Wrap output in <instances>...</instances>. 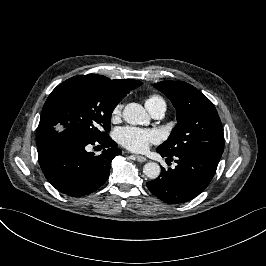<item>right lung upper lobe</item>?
Wrapping results in <instances>:
<instances>
[{
    "label": "right lung upper lobe",
    "instance_id": "obj_1",
    "mask_svg": "<svg viewBox=\"0 0 266 266\" xmlns=\"http://www.w3.org/2000/svg\"><path fill=\"white\" fill-rule=\"evenodd\" d=\"M124 84L131 85V86H140L142 83L140 81L136 80H119Z\"/></svg>",
    "mask_w": 266,
    "mask_h": 266
}]
</instances>
